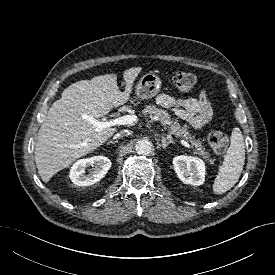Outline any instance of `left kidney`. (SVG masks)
<instances>
[{
	"label": "left kidney",
	"instance_id": "obj_1",
	"mask_svg": "<svg viewBox=\"0 0 275 275\" xmlns=\"http://www.w3.org/2000/svg\"><path fill=\"white\" fill-rule=\"evenodd\" d=\"M175 172L185 184L202 185L205 180L204 161L191 156H177L173 159Z\"/></svg>",
	"mask_w": 275,
	"mask_h": 275
}]
</instances>
